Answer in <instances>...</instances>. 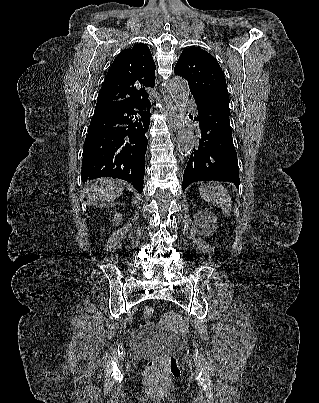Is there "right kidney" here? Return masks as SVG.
Wrapping results in <instances>:
<instances>
[{"label": "right kidney", "mask_w": 319, "mask_h": 403, "mask_svg": "<svg viewBox=\"0 0 319 403\" xmlns=\"http://www.w3.org/2000/svg\"><path fill=\"white\" fill-rule=\"evenodd\" d=\"M122 220V215L120 213H116L113 218V224L118 225Z\"/></svg>", "instance_id": "ca27d5eb"}]
</instances>
